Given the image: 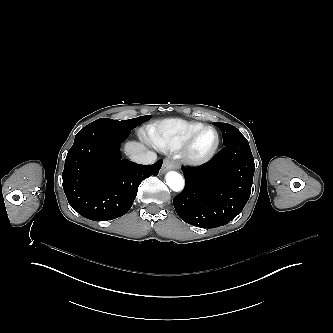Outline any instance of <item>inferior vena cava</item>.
<instances>
[{"label": "inferior vena cava", "mask_w": 333, "mask_h": 333, "mask_svg": "<svg viewBox=\"0 0 333 333\" xmlns=\"http://www.w3.org/2000/svg\"><path fill=\"white\" fill-rule=\"evenodd\" d=\"M130 159L138 164L151 165L156 162L157 156L151 151H145L137 154H131Z\"/></svg>", "instance_id": "602c4592"}]
</instances>
